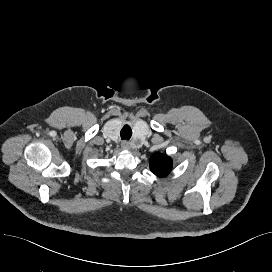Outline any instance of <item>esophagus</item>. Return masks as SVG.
<instances>
[{
  "instance_id": "obj_1",
  "label": "esophagus",
  "mask_w": 272,
  "mask_h": 272,
  "mask_svg": "<svg viewBox=\"0 0 272 272\" xmlns=\"http://www.w3.org/2000/svg\"><path fill=\"white\" fill-rule=\"evenodd\" d=\"M121 147H122V149H124V150L130 149V142H128V141H123V142L121 143Z\"/></svg>"
}]
</instances>
